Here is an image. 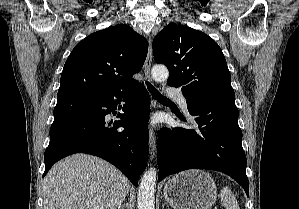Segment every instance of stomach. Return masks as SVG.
Instances as JSON below:
<instances>
[{
    "label": "stomach",
    "mask_w": 299,
    "mask_h": 209,
    "mask_svg": "<svg viewBox=\"0 0 299 209\" xmlns=\"http://www.w3.org/2000/svg\"><path fill=\"white\" fill-rule=\"evenodd\" d=\"M163 195L174 209H210L216 202L217 187L207 172L193 169L173 176Z\"/></svg>",
    "instance_id": "stomach-1"
}]
</instances>
